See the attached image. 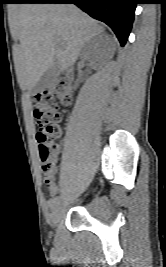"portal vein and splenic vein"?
<instances>
[{
  "label": "portal vein and splenic vein",
  "mask_w": 166,
  "mask_h": 267,
  "mask_svg": "<svg viewBox=\"0 0 166 267\" xmlns=\"http://www.w3.org/2000/svg\"><path fill=\"white\" fill-rule=\"evenodd\" d=\"M56 42H57L58 44H62V43H63L62 40L59 39V38L56 39Z\"/></svg>",
  "instance_id": "portal-vein-and-splenic-vein-1"
}]
</instances>
